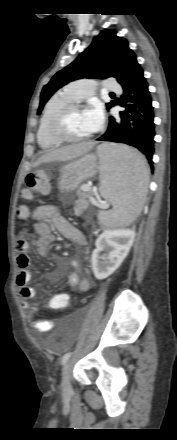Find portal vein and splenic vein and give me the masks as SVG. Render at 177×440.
I'll use <instances>...</instances> for the list:
<instances>
[{"mask_svg":"<svg viewBox=\"0 0 177 440\" xmlns=\"http://www.w3.org/2000/svg\"><path fill=\"white\" fill-rule=\"evenodd\" d=\"M84 189L87 190V191H89V190H91L92 188H91V186H86ZM91 200H92V199H91ZM103 207H104V208H108L109 205H108V204H105V205H103Z\"/></svg>","mask_w":177,"mask_h":440,"instance_id":"18ae733b","label":"portal vein and splenic vein"}]
</instances>
